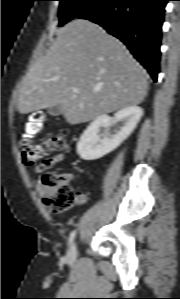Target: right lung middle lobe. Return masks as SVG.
<instances>
[{
    "instance_id": "1",
    "label": "right lung middle lobe",
    "mask_w": 180,
    "mask_h": 299,
    "mask_svg": "<svg viewBox=\"0 0 180 299\" xmlns=\"http://www.w3.org/2000/svg\"><path fill=\"white\" fill-rule=\"evenodd\" d=\"M59 26L77 18L103 0H59Z\"/></svg>"
}]
</instances>
